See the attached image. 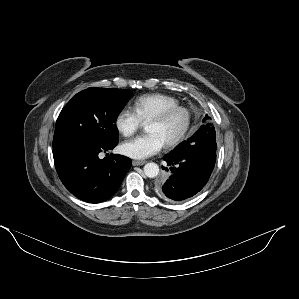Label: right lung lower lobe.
<instances>
[{"label": "right lung lower lobe", "instance_id": "1", "mask_svg": "<svg viewBox=\"0 0 299 299\" xmlns=\"http://www.w3.org/2000/svg\"><path fill=\"white\" fill-rule=\"evenodd\" d=\"M115 146L75 142L53 148L56 171L64 186L86 202L99 203L110 198L131 167V160L122 155L98 157L100 152Z\"/></svg>", "mask_w": 299, "mask_h": 299}]
</instances>
